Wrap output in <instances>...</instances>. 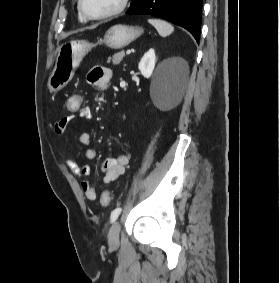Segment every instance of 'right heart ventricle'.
I'll return each instance as SVG.
<instances>
[{
    "label": "right heart ventricle",
    "mask_w": 280,
    "mask_h": 283,
    "mask_svg": "<svg viewBox=\"0 0 280 283\" xmlns=\"http://www.w3.org/2000/svg\"><path fill=\"white\" fill-rule=\"evenodd\" d=\"M78 18L81 22H85V18L80 14L79 10H78Z\"/></svg>",
    "instance_id": "e07e8e85"
}]
</instances>
